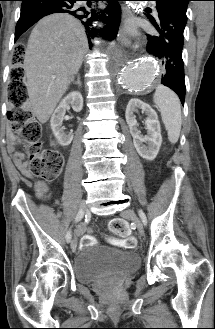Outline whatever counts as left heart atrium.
<instances>
[{
  "mask_svg": "<svg viewBox=\"0 0 215 329\" xmlns=\"http://www.w3.org/2000/svg\"><path fill=\"white\" fill-rule=\"evenodd\" d=\"M128 29H129V30H132V29H133V27H132V26H129V27H128Z\"/></svg>",
  "mask_w": 215,
  "mask_h": 329,
  "instance_id": "1",
  "label": "left heart atrium"
}]
</instances>
